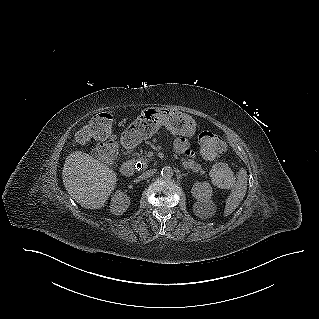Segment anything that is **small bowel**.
<instances>
[{"mask_svg":"<svg viewBox=\"0 0 319 319\" xmlns=\"http://www.w3.org/2000/svg\"><path fill=\"white\" fill-rule=\"evenodd\" d=\"M118 114L120 116H127L129 114V107L127 105H120L118 107ZM175 149L177 151H180V152H183L185 153L186 155H189L191 156L192 155V151L188 148V144L186 142L185 139L183 138H180V139H177L176 142H175Z\"/></svg>","mask_w":319,"mask_h":319,"instance_id":"obj_1","label":"small bowel"}]
</instances>
